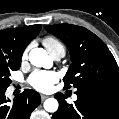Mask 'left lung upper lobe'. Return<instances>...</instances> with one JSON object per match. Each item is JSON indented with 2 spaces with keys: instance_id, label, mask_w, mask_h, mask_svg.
<instances>
[{
  "instance_id": "1",
  "label": "left lung upper lobe",
  "mask_w": 119,
  "mask_h": 119,
  "mask_svg": "<svg viewBox=\"0 0 119 119\" xmlns=\"http://www.w3.org/2000/svg\"><path fill=\"white\" fill-rule=\"evenodd\" d=\"M68 47L72 64L65 77V89L108 87L119 89V68L105 43L84 27L71 24L46 26Z\"/></svg>"
}]
</instances>
